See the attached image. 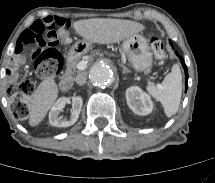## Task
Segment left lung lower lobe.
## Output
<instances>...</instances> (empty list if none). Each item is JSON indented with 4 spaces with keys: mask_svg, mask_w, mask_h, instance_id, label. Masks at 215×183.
Wrapping results in <instances>:
<instances>
[{
    "mask_svg": "<svg viewBox=\"0 0 215 183\" xmlns=\"http://www.w3.org/2000/svg\"><path fill=\"white\" fill-rule=\"evenodd\" d=\"M170 44H171V42H170ZM172 45V44H171ZM175 53L177 54V52L175 51ZM178 57H179V59H180V61H181V64H182V66H183V68H184V70H185V92H186V90H187V87H188V72H187V66H186V64H185V62H184V60H183V58L182 57H180L179 55H178Z\"/></svg>",
    "mask_w": 215,
    "mask_h": 183,
    "instance_id": "1",
    "label": "left lung lower lobe"
}]
</instances>
